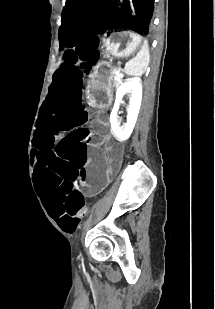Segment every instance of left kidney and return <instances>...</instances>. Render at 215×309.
Returning a JSON list of instances; mask_svg holds the SVG:
<instances>
[{
    "label": "left kidney",
    "mask_w": 215,
    "mask_h": 309,
    "mask_svg": "<svg viewBox=\"0 0 215 309\" xmlns=\"http://www.w3.org/2000/svg\"><path fill=\"white\" fill-rule=\"evenodd\" d=\"M126 92H131L129 106L127 108V122L124 126H120V118H118L119 102L122 100ZM142 100V86L140 78H129L127 82H123L116 92V100L110 114L111 128L118 140H127L129 138L137 120L140 104Z\"/></svg>",
    "instance_id": "obj_1"
}]
</instances>
